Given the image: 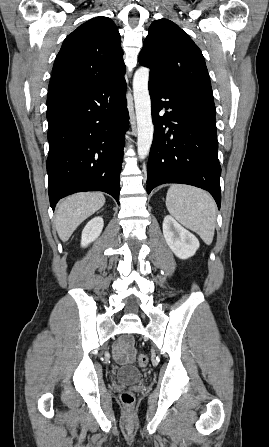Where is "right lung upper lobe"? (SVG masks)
I'll return each mask as SVG.
<instances>
[{
    "mask_svg": "<svg viewBox=\"0 0 269 447\" xmlns=\"http://www.w3.org/2000/svg\"><path fill=\"white\" fill-rule=\"evenodd\" d=\"M124 73L118 29L111 19L99 16L65 38L53 65L48 92L99 85Z\"/></svg>",
    "mask_w": 269,
    "mask_h": 447,
    "instance_id": "right-lung-upper-lobe-1",
    "label": "right lung upper lobe"
}]
</instances>
